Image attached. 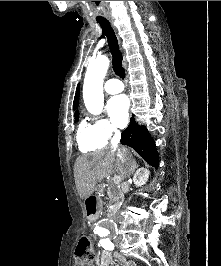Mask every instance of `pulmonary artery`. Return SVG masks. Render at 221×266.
Instances as JSON below:
<instances>
[{"label": "pulmonary artery", "mask_w": 221, "mask_h": 266, "mask_svg": "<svg viewBox=\"0 0 221 266\" xmlns=\"http://www.w3.org/2000/svg\"><path fill=\"white\" fill-rule=\"evenodd\" d=\"M104 88L108 94H116L124 90V85L118 79L112 78L106 81Z\"/></svg>", "instance_id": "pulmonary-artery-1"}]
</instances>
